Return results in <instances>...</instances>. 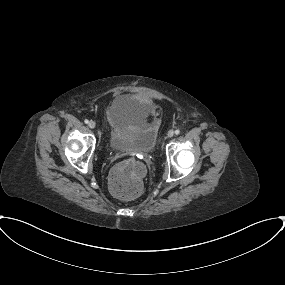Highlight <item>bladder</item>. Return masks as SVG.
<instances>
[{"label": "bladder", "mask_w": 285, "mask_h": 285, "mask_svg": "<svg viewBox=\"0 0 285 285\" xmlns=\"http://www.w3.org/2000/svg\"><path fill=\"white\" fill-rule=\"evenodd\" d=\"M119 103L134 108L139 122L125 131L112 132L108 139L109 150L115 153L130 151L140 153L151 152L156 145L157 133L153 124L145 123L143 120L142 114L146 110V106L137 101H133L128 96L119 97L114 101L113 106L115 107Z\"/></svg>", "instance_id": "31cf9c89"}]
</instances>
